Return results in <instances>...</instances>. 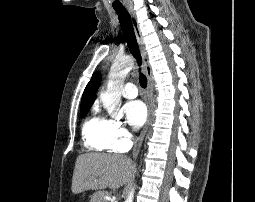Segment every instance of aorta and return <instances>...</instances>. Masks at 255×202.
I'll use <instances>...</instances> for the list:
<instances>
[{
    "label": "aorta",
    "instance_id": "1",
    "mask_svg": "<svg viewBox=\"0 0 255 202\" xmlns=\"http://www.w3.org/2000/svg\"><path fill=\"white\" fill-rule=\"evenodd\" d=\"M133 59L129 56L117 58L110 70L107 89L100 95L104 108L112 117L120 116L121 91L125 75L132 69ZM134 188L130 191L125 202H133Z\"/></svg>",
    "mask_w": 255,
    "mask_h": 202
}]
</instances>
